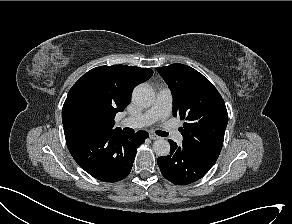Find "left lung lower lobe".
Masks as SVG:
<instances>
[{
    "mask_svg": "<svg viewBox=\"0 0 292 224\" xmlns=\"http://www.w3.org/2000/svg\"><path fill=\"white\" fill-rule=\"evenodd\" d=\"M171 151L166 157L157 159L162 175L177 185H186L202 178L214 165V161L205 158L196 151L169 140Z\"/></svg>",
    "mask_w": 292,
    "mask_h": 224,
    "instance_id": "left-lung-lower-lobe-1",
    "label": "left lung lower lobe"
}]
</instances>
